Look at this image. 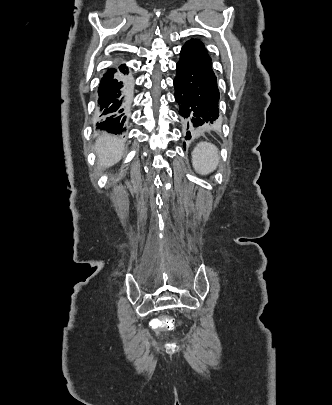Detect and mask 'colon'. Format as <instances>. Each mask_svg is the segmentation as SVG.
I'll list each match as a JSON object with an SVG mask.
<instances>
[{
	"label": "colon",
	"instance_id": "1",
	"mask_svg": "<svg viewBox=\"0 0 332 405\" xmlns=\"http://www.w3.org/2000/svg\"><path fill=\"white\" fill-rule=\"evenodd\" d=\"M153 322L157 324V329L158 330H172L173 329V323L169 319H164L162 315H155L153 317Z\"/></svg>",
	"mask_w": 332,
	"mask_h": 405
}]
</instances>
